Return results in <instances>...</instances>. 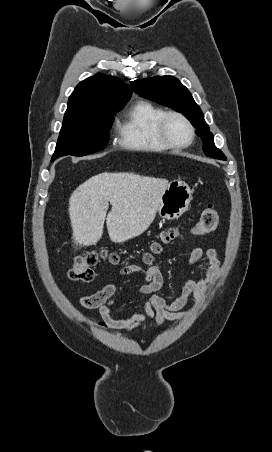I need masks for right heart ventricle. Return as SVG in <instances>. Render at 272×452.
I'll use <instances>...</instances> for the list:
<instances>
[{
  "label": "right heart ventricle",
  "instance_id": "1",
  "mask_svg": "<svg viewBox=\"0 0 272 452\" xmlns=\"http://www.w3.org/2000/svg\"><path fill=\"white\" fill-rule=\"evenodd\" d=\"M165 110L154 103L141 100L127 112L121 122L119 144L140 152H162L170 149L159 136L158 123Z\"/></svg>",
  "mask_w": 272,
  "mask_h": 452
}]
</instances>
